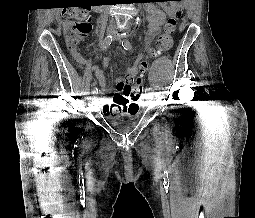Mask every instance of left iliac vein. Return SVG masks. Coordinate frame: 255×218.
Masks as SVG:
<instances>
[{
	"mask_svg": "<svg viewBox=\"0 0 255 218\" xmlns=\"http://www.w3.org/2000/svg\"><path fill=\"white\" fill-rule=\"evenodd\" d=\"M115 39H116L117 41H121L120 36H116ZM149 97H150V95L146 92V93H145V98H146V99H149Z\"/></svg>",
	"mask_w": 255,
	"mask_h": 218,
	"instance_id": "1",
	"label": "left iliac vein"
}]
</instances>
